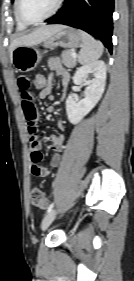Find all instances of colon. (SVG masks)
I'll return each mask as SVG.
<instances>
[{
	"label": "colon",
	"instance_id": "1",
	"mask_svg": "<svg viewBox=\"0 0 134 281\" xmlns=\"http://www.w3.org/2000/svg\"><path fill=\"white\" fill-rule=\"evenodd\" d=\"M47 83L48 78L44 74L38 73L33 78V86L39 92L43 91L46 88ZM31 201L33 206L40 209L45 208L48 202L45 193L39 188H34L32 190Z\"/></svg>",
	"mask_w": 134,
	"mask_h": 281
}]
</instances>
